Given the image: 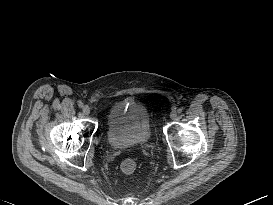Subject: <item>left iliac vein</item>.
Wrapping results in <instances>:
<instances>
[{"label":"left iliac vein","instance_id":"obj_1","mask_svg":"<svg viewBox=\"0 0 273 205\" xmlns=\"http://www.w3.org/2000/svg\"><path fill=\"white\" fill-rule=\"evenodd\" d=\"M176 117H177V113L175 111H172L170 113V118L174 120V119H176Z\"/></svg>","mask_w":273,"mask_h":205}]
</instances>
